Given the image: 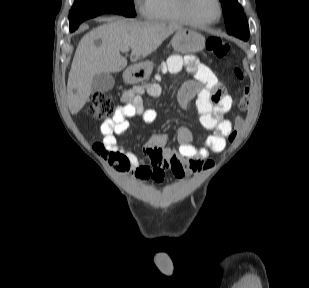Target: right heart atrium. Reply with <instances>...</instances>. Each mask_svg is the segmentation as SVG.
Returning <instances> with one entry per match:
<instances>
[{
  "label": "right heart atrium",
  "mask_w": 309,
  "mask_h": 288,
  "mask_svg": "<svg viewBox=\"0 0 309 288\" xmlns=\"http://www.w3.org/2000/svg\"><path fill=\"white\" fill-rule=\"evenodd\" d=\"M145 0H134V4L138 9H143Z\"/></svg>",
  "instance_id": "d8ad5b80"
}]
</instances>
